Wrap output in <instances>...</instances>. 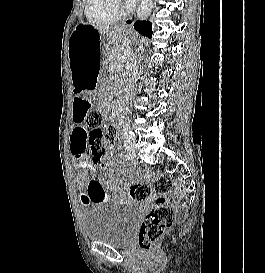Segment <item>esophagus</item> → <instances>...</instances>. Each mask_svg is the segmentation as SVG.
<instances>
[{
  "mask_svg": "<svg viewBox=\"0 0 265 273\" xmlns=\"http://www.w3.org/2000/svg\"><path fill=\"white\" fill-rule=\"evenodd\" d=\"M134 23V17L130 16L127 19H125L122 24L125 26H131Z\"/></svg>",
  "mask_w": 265,
  "mask_h": 273,
  "instance_id": "obj_1",
  "label": "esophagus"
}]
</instances>
